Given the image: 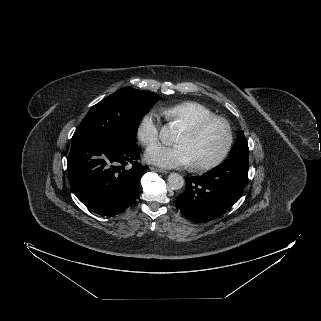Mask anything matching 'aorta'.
I'll list each match as a JSON object with an SVG mask.
<instances>
[{"label":"aorta","instance_id":"obj_1","mask_svg":"<svg viewBox=\"0 0 321 321\" xmlns=\"http://www.w3.org/2000/svg\"><path fill=\"white\" fill-rule=\"evenodd\" d=\"M161 135L166 139H171L173 137V131L164 126L161 130ZM168 185L173 190H179L184 186V179L178 173H171L168 176Z\"/></svg>","mask_w":321,"mask_h":321}]
</instances>
